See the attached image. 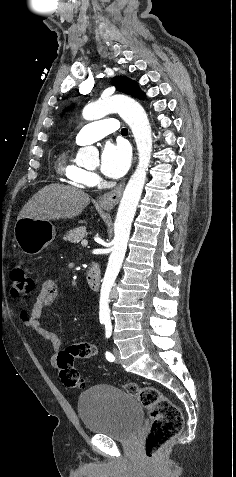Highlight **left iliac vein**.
<instances>
[{"label": "left iliac vein", "mask_w": 236, "mask_h": 477, "mask_svg": "<svg viewBox=\"0 0 236 477\" xmlns=\"http://www.w3.org/2000/svg\"><path fill=\"white\" fill-rule=\"evenodd\" d=\"M113 353H114L116 362H117V363H120V362H121L120 353H119V351H118V349H117L116 347L113 348Z\"/></svg>", "instance_id": "obj_1"}]
</instances>
